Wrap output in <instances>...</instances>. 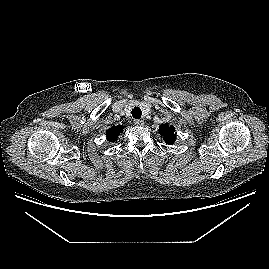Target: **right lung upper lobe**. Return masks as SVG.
<instances>
[{
	"mask_svg": "<svg viewBox=\"0 0 269 269\" xmlns=\"http://www.w3.org/2000/svg\"><path fill=\"white\" fill-rule=\"evenodd\" d=\"M123 131L122 126H112L106 131L107 140L110 142H115L118 135Z\"/></svg>",
	"mask_w": 269,
	"mask_h": 269,
	"instance_id": "obj_1",
	"label": "right lung upper lobe"
}]
</instances>
